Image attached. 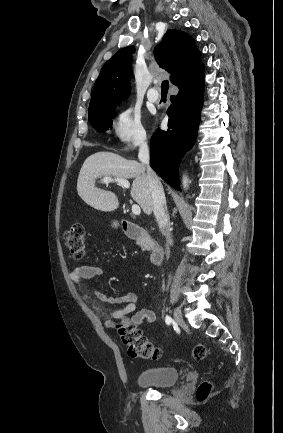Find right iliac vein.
Segmentation results:
<instances>
[{"label": "right iliac vein", "mask_w": 283, "mask_h": 433, "mask_svg": "<svg viewBox=\"0 0 283 433\" xmlns=\"http://www.w3.org/2000/svg\"><path fill=\"white\" fill-rule=\"evenodd\" d=\"M174 320H175L176 324H178V325H181L184 323L182 313H181L179 308H175V310H174Z\"/></svg>", "instance_id": "1"}]
</instances>
